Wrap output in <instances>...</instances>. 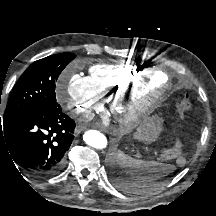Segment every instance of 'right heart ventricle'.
<instances>
[{
    "label": "right heart ventricle",
    "instance_id": "obj_1",
    "mask_svg": "<svg viewBox=\"0 0 216 216\" xmlns=\"http://www.w3.org/2000/svg\"><path fill=\"white\" fill-rule=\"evenodd\" d=\"M148 71L136 64L102 63L90 67L89 78L99 95L109 100Z\"/></svg>",
    "mask_w": 216,
    "mask_h": 216
}]
</instances>
